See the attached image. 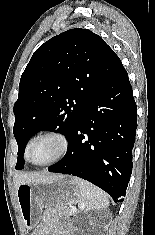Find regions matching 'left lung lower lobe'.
Masks as SVG:
<instances>
[{
	"instance_id": "left-lung-lower-lobe-1",
	"label": "left lung lower lobe",
	"mask_w": 155,
	"mask_h": 235,
	"mask_svg": "<svg viewBox=\"0 0 155 235\" xmlns=\"http://www.w3.org/2000/svg\"><path fill=\"white\" fill-rule=\"evenodd\" d=\"M137 106L119 60L74 128L65 157L49 172L72 174L122 202L132 173Z\"/></svg>"
}]
</instances>
